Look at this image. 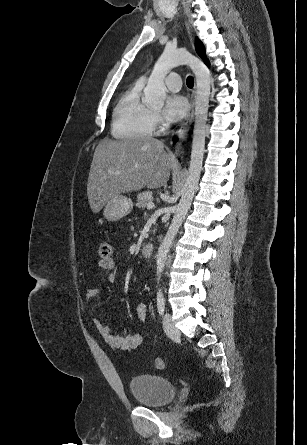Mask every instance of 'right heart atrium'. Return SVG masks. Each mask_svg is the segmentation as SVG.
I'll list each match as a JSON object with an SVG mask.
<instances>
[{"instance_id": "1", "label": "right heart atrium", "mask_w": 307, "mask_h": 445, "mask_svg": "<svg viewBox=\"0 0 307 445\" xmlns=\"http://www.w3.org/2000/svg\"><path fill=\"white\" fill-rule=\"evenodd\" d=\"M149 122H150L151 130L155 133L160 132L164 126L163 117L157 111H153L150 113Z\"/></svg>"}]
</instances>
